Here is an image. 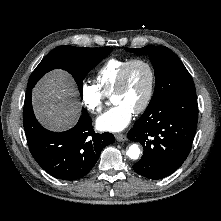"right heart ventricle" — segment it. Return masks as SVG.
<instances>
[{
  "label": "right heart ventricle",
  "instance_id": "obj_1",
  "mask_svg": "<svg viewBox=\"0 0 221 221\" xmlns=\"http://www.w3.org/2000/svg\"><path fill=\"white\" fill-rule=\"evenodd\" d=\"M129 60L127 58H111L99 69L96 74V82L105 96L113 93L119 74Z\"/></svg>",
  "mask_w": 221,
  "mask_h": 221
}]
</instances>
